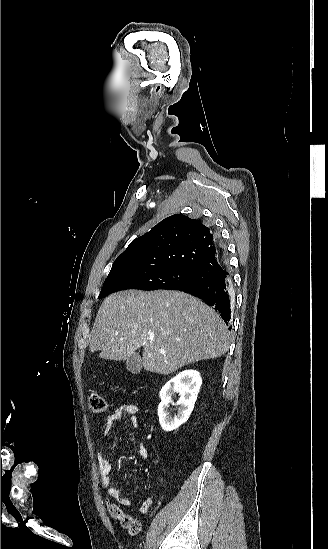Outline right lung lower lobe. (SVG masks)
<instances>
[{"instance_id": "1", "label": "right lung lower lobe", "mask_w": 328, "mask_h": 549, "mask_svg": "<svg viewBox=\"0 0 328 549\" xmlns=\"http://www.w3.org/2000/svg\"><path fill=\"white\" fill-rule=\"evenodd\" d=\"M216 242L219 244V252L221 254L223 253V260H225L224 248H222L217 237ZM230 285V274L227 271V266L224 262L223 271L217 275L206 277L198 282L180 287L177 290L184 291L201 298L206 302V304L219 313L225 323L228 324L230 322L231 314V296L229 293Z\"/></svg>"}]
</instances>
